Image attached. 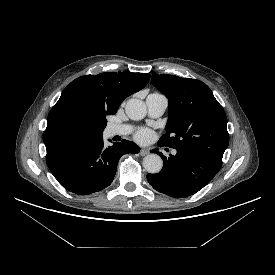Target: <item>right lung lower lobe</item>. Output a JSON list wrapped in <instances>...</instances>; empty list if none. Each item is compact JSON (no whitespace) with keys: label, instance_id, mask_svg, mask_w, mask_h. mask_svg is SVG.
<instances>
[{"label":"right lung lower lobe","instance_id":"right-lung-lower-lobe-1","mask_svg":"<svg viewBox=\"0 0 275 275\" xmlns=\"http://www.w3.org/2000/svg\"><path fill=\"white\" fill-rule=\"evenodd\" d=\"M46 150L47 165L57 181L73 193L87 195L108 187L120 157L138 153L140 148L127 140L105 147L100 135L54 144Z\"/></svg>","mask_w":275,"mask_h":275}]
</instances>
